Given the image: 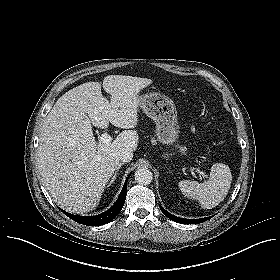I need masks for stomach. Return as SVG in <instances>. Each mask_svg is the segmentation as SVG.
Masks as SVG:
<instances>
[{
	"label": "stomach",
	"instance_id": "1",
	"mask_svg": "<svg viewBox=\"0 0 280 280\" xmlns=\"http://www.w3.org/2000/svg\"><path fill=\"white\" fill-rule=\"evenodd\" d=\"M139 106L156 124L157 140L171 146L179 137L177 110L174 102L160 93H148L139 96ZM168 158L169 154L166 153Z\"/></svg>",
	"mask_w": 280,
	"mask_h": 280
}]
</instances>
